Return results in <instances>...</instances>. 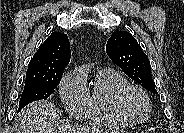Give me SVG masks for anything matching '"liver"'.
<instances>
[{
	"instance_id": "obj_1",
	"label": "liver",
	"mask_w": 184,
	"mask_h": 133,
	"mask_svg": "<svg viewBox=\"0 0 184 133\" xmlns=\"http://www.w3.org/2000/svg\"><path fill=\"white\" fill-rule=\"evenodd\" d=\"M54 104L46 100L36 101L21 110L15 125L17 133H103L96 128L61 127Z\"/></svg>"
}]
</instances>
